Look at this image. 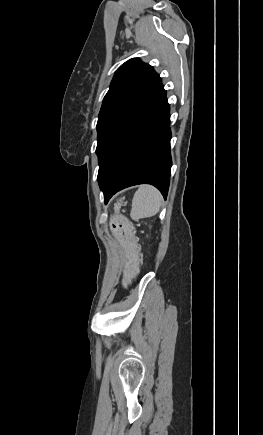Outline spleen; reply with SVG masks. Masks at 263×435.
<instances>
[{"label": "spleen", "mask_w": 263, "mask_h": 435, "mask_svg": "<svg viewBox=\"0 0 263 435\" xmlns=\"http://www.w3.org/2000/svg\"><path fill=\"white\" fill-rule=\"evenodd\" d=\"M162 195L153 186L142 185L134 194L131 217L135 220L156 215L161 207Z\"/></svg>", "instance_id": "spleen-1"}]
</instances>
